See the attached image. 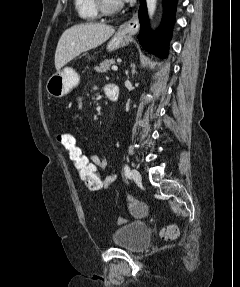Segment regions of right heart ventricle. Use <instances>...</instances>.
<instances>
[{
    "label": "right heart ventricle",
    "instance_id": "right-heart-ventricle-1",
    "mask_svg": "<svg viewBox=\"0 0 240 287\" xmlns=\"http://www.w3.org/2000/svg\"><path fill=\"white\" fill-rule=\"evenodd\" d=\"M74 5L80 18L95 20L99 17L95 0H74Z\"/></svg>",
    "mask_w": 240,
    "mask_h": 287
}]
</instances>
